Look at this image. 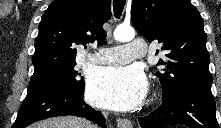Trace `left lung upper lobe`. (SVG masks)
Segmentation results:
<instances>
[{"label":"left lung upper lobe","mask_w":221,"mask_h":128,"mask_svg":"<svg viewBox=\"0 0 221 128\" xmlns=\"http://www.w3.org/2000/svg\"><path fill=\"white\" fill-rule=\"evenodd\" d=\"M131 19L149 42L163 45L166 58L157 63L163 100L191 87L211 88L203 20L189 0H133Z\"/></svg>","instance_id":"obj_1"}]
</instances>
